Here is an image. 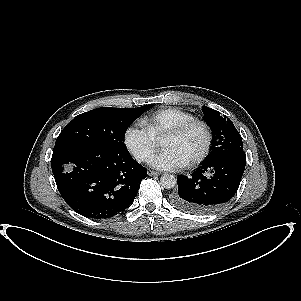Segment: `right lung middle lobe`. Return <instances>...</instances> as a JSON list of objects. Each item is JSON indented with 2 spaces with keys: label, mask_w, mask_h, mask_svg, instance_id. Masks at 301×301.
Masks as SVG:
<instances>
[{
  "label": "right lung middle lobe",
  "mask_w": 301,
  "mask_h": 301,
  "mask_svg": "<svg viewBox=\"0 0 301 301\" xmlns=\"http://www.w3.org/2000/svg\"><path fill=\"white\" fill-rule=\"evenodd\" d=\"M152 105L138 108L102 107L76 116L58 136L54 150L80 144L126 152L127 127Z\"/></svg>",
  "instance_id": "right-lung-middle-lobe-1"
}]
</instances>
